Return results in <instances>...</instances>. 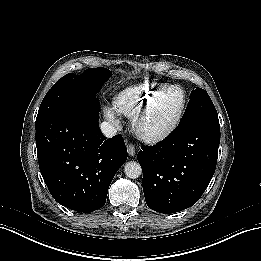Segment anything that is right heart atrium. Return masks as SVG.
<instances>
[{"mask_svg": "<svg viewBox=\"0 0 261 261\" xmlns=\"http://www.w3.org/2000/svg\"><path fill=\"white\" fill-rule=\"evenodd\" d=\"M106 118L112 125H118V120L116 119L115 113L113 111L109 112L108 110H105Z\"/></svg>", "mask_w": 261, "mask_h": 261, "instance_id": "d8ad5b80", "label": "right heart atrium"}]
</instances>
